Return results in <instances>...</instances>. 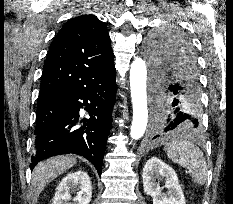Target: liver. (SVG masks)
<instances>
[{
  "label": "liver",
  "mask_w": 233,
  "mask_h": 204,
  "mask_svg": "<svg viewBox=\"0 0 233 204\" xmlns=\"http://www.w3.org/2000/svg\"><path fill=\"white\" fill-rule=\"evenodd\" d=\"M71 155H59L39 163L32 172V200L37 202L44 187L76 164Z\"/></svg>",
  "instance_id": "liver-1"
}]
</instances>
